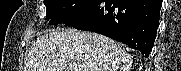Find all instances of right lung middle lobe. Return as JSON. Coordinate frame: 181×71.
<instances>
[{
    "label": "right lung middle lobe",
    "instance_id": "right-lung-middle-lobe-1",
    "mask_svg": "<svg viewBox=\"0 0 181 71\" xmlns=\"http://www.w3.org/2000/svg\"><path fill=\"white\" fill-rule=\"evenodd\" d=\"M94 0H44L49 24L57 25L76 15Z\"/></svg>",
    "mask_w": 181,
    "mask_h": 71
}]
</instances>
